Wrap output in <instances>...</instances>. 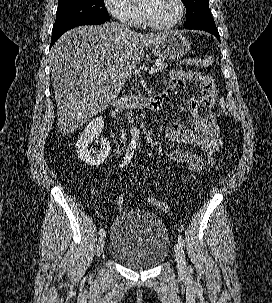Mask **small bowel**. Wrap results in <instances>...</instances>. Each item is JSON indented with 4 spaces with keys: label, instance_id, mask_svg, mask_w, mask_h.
<instances>
[{
    "label": "small bowel",
    "instance_id": "small-bowel-1",
    "mask_svg": "<svg viewBox=\"0 0 272 303\" xmlns=\"http://www.w3.org/2000/svg\"><path fill=\"white\" fill-rule=\"evenodd\" d=\"M188 84L196 86L198 94L184 102L187 120L174 123L166 130L167 139L172 145L166 154L187 167V178L201 175L210 168L213 165L212 155L222 145L218 117L214 112L218 99L214 80L194 71L174 69L170 72L166 93L170 95L178 87ZM182 145L192 146L195 150H183Z\"/></svg>",
    "mask_w": 272,
    "mask_h": 303
}]
</instances>
